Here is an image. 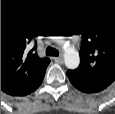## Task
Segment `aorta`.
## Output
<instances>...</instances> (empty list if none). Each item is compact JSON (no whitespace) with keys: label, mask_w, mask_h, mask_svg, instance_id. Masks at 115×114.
<instances>
[{"label":"aorta","mask_w":115,"mask_h":114,"mask_svg":"<svg viewBox=\"0 0 115 114\" xmlns=\"http://www.w3.org/2000/svg\"><path fill=\"white\" fill-rule=\"evenodd\" d=\"M57 42L61 43L63 42V38H57ZM64 62L67 68L69 69H75L79 66L80 64V57L78 52L71 47H67L64 50Z\"/></svg>","instance_id":"1"}]
</instances>
